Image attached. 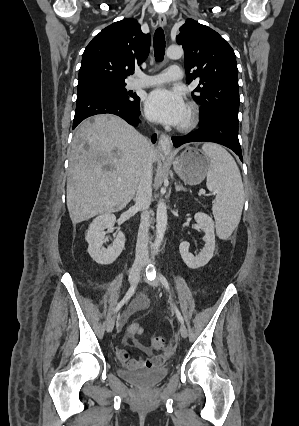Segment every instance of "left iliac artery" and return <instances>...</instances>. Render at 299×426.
<instances>
[{"mask_svg": "<svg viewBox=\"0 0 299 426\" xmlns=\"http://www.w3.org/2000/svg\"><path fill=\"white\" fill-rule=\"evenodd\" d=\"M146 276H147L148 279L153 278V274H152V271L150 269H148V270L146 269ZM159 278H160L162 285L169 291L170 287H169V283H168L166 277L162 274H159ZM174 309H175V313H176L178 320L183 324L184 323L183 317H182L179 309L176 307V305H174Z\"/></svg>", "mask_w": 299, "mask_h": 426, "instance_id": "obj_1", "label": "left iliac artery"}]
</instances>
